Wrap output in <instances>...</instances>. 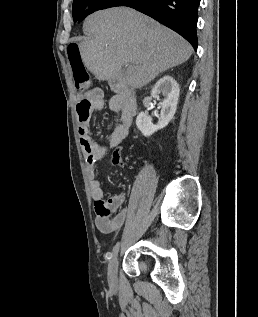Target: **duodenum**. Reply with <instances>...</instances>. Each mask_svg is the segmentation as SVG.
I'll return each instance as SVG.
<instances>
[{"instance_id":"duodenum-1","label":"duodenum","mask_w":258,"mask_h":317,"mask_svg":"<svg viewBox=\"0 0 258 317\" xmlns=\"http://www.w3.org/2000/svg\"><path fill=\"white\" fill-rule=\"evenodd\" d=\"M133 108L136 110V103L133 101Z\"/></svg>"}]
</instances>
